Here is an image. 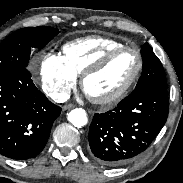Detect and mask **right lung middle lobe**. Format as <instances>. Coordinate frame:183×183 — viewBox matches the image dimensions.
<instances>
[{
  "label": "right lung middle lobe",
  "mask_w": 183,
  "mask_h": 183,
  "mask_svg": "<svg viewBox=\"0 0 183 183\" xmlns=\"http://www.w3.org/2000/svg\"><path fill=\"white\" fill-rule=\"evenodd\" d=\"M58 29L40 26L15 31L0 44V72L26 68L34 48H42L57 34Z\"/></svg>",
  "instance_id": "right-lung-middle-lobe-1"
}]
</instances>
